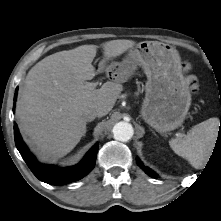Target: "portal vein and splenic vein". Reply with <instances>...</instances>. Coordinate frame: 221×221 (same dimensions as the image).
I'll use <instances>...</instances> for the list:
<instances>
[{
	"mask_svg": "<svg viewBox=\"0 0 221 221\" xmlns=\"http://www.w3.org/2000/svg\"><path fill=\"white\" fill-rule=\"evenodd\" d=\"M89 85H90L91 87H94V88H95V87L97 86V83H93V82H92V83H89Z\"/></svg>",
	"mask_w": 221,
	"mask_h": 221,
	"instance_id": "portal-vein-and-splenic-vein-1",
	"label": "portal vein and splenic vein"
}]
</instances>
